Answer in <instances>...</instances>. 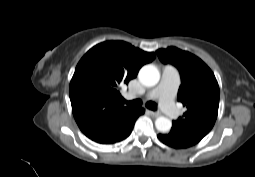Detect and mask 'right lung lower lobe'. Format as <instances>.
I'll return each instance as SVG.
<instances>
[{"label": "right lung lower lobe", "instance_id": "obj_1", "mask_svg": "<svg viewBox=\"0 0 255 177\" xmlns=\"http://www.w3.org/2000/svg\"><path fill=\"white\" fill-rule=\"evenodd\" d=\"M142 114L143 108H126L82 132L97 143L114 144L131 134L136 119Z\"/></svg>", "mask_w": 255, "mask_h": 177}]
</instances>
